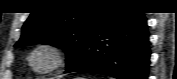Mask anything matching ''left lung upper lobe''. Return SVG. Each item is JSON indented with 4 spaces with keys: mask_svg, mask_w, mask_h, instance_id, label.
I'll use <instances>...</instances> for the list:
<instances>
[{
    "mask_svg": "<svg viewBox=\"0 0 177 79\" xmlns=\"http://www.w3.org/2000/svg\"><path fill=\"white\" fill-rule=\"evenodd\" d=\"M115 1H86V7L66 12L41 10L31 13L22 28V36L15 47L49 44L62 48L67 66L80 54L101 21L106 9Z\"/></svg>",
    "mask_w": 177,
    "mask_h": 79,
    "instance_id": "1",
    "label": "left lung upper lobe"
}]
</instances>
